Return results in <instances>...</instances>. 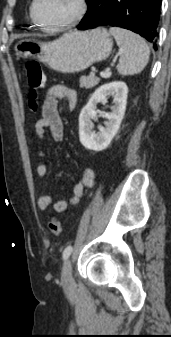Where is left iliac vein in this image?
<instances>
[{"label": "left iliac vein", "instance_id": "4c4485c4", "mask_svg": "<svg viewBox=\"0 0 171 337\" xmlns=\"http://www.w3.org/2000/svg\"><path fill=\"white\" fill-rule=\"evenodd\" d=\"M61 281H62V284L68 288L72 286L74 283V280L72 277L71 262L69 259H67L63 264L62 273H61Z\"/></svg>", "mask_w": 171, "mask_h": 337}]
</instances>
